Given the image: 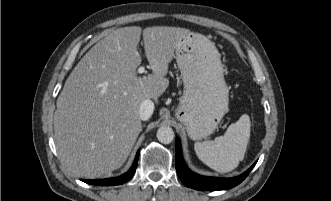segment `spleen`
Here are the masks:
<instances>
[{
    "mask_svg": "<svg viewBox=\"0 0 331 201\" xmlns=\"http://www.w3.org/2000/svg\"><path fill=\"white\" fill-rule=\"evenodd\" d=\"M250 118L243 114L232 123L223 136L214 141L196 142L194 150L198 158L211 169L227 173L234 170L244 159L250 138Z\"/></svg>",
    "mask_w": 331,
    "mask_h": 201,
    "instance_id": "spleen-1",
    "label": "spleen"
}]
</instances>
